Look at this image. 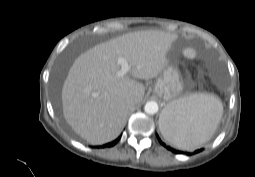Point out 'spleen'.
Segmentation results:
<instances>
[{"mask_svg": "<svg viewBox=\"0 0 255 177\" xmlns=\"http://www.w3.org/2000/svg\"><path fill=\"white\" fill-rule=\"evenodd\" d=\"M167 121L160 130L174 147L192 150L209 141L223 114L220 99L211 94L195 93L167 106Z\"/></svg>", "mask_w": 255, "mask_h": 177, "instance_id": "1", "label": "spleen"}]
</instances>
